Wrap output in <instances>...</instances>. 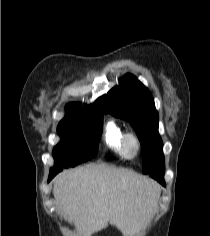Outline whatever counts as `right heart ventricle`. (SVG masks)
Wrapping results in <instances>:
<instances>
[{"mask_svg": "<svg viewBox=\"0 0 210 236\" xmlns=\"http://www.w3.org/2000/svg\"><path fill=\"white\" fill-rule=\"evenodd\" d=\"M124 129L117 122L110 120L106 123L103 133V140L107 148L116 156L124 158L122 150V139Z\"/></svg>", "mask_w": 210, "mask_h": 236, "instance_id": "right-heart-ventricle-1", "label": "right heart ventricle"}]
</instances>
